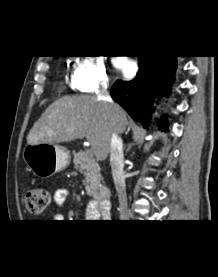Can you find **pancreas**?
<instances>
[{
  "mask_svg": "<svg viewBox=\"0 0 218 277\" xmlns=\"http://www.w3.org/2000/svg\"><path fill=\"white\" fill-rule=\"evenodd\" d=\"M74 167L80 170L84 175L85 190L89 196L96 193L99 189L100 181L102 179L100 167L96 162L92 152L80 151L74 154L73 158Z\"/></svg>",
  "mask_w": 218,
  "mask_h": 277,
  "instance_id": "obj_1",
  "label": "pancreas"
}]
</instances>
